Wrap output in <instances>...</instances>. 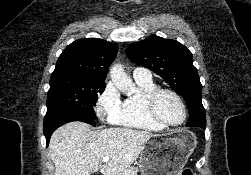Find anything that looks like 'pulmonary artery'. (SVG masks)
Returning <instances> with one entry per match:
<instances>
[{"label": "pulmonary artery", "instance_id": "obj_1", "mask_svg": "<svg viewBox=\"0 0 251 175\" xmlns=\"http://www.w3.org/2000/svg\"><path fill=\"white\" fill-rule=\"evenodd\" d=\"M132 76L135 81L152 82L153 77L149 70L143 68H136L133 70Z\"/></svg>", "mask_w": 251, "mask_h": 175}]
</instances>
